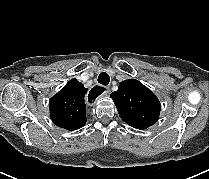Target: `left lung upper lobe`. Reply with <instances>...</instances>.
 Returning <instances> with one entry per match:
<instances>
[{"label": "left lung upper lobe", "mask_w": 209, "mask_h": 179, "mask_svg": "<svg viewBox=\"0 0 209 179\" xmlns=\"http://www.w3.org/2000/svg\"><path fill=\"white\" fill-rule=\"evenodd\" d=\"M110 97L121 119L136 129H146L159 118L161 106L158 98L136 79L122 81Z\"/></svg>", "instance_id": "left-lung-upper-lobe-1"}]
</instances>
